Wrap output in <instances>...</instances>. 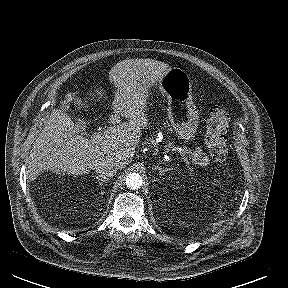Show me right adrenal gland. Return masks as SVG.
Segmentation results:
<instances>
[{
  "label": "right adrenal gland",
  "instance_id": "right-adrenal-gland-1",
  "mask_svg": "<svg viewBox=\"0 0 288 288\" xmlns=\"http://www.w3.org/2000/svg\"><path fill=\"white\" fill-rule=\"evenodd\" d=\"M92 177H94L97 180L100 188L102 187L103 183H106L109 180V179H102L96 175H92Z\"/></svg>",
  "mask_w": 288,
  "mask_h": 288
}]
</instances>
